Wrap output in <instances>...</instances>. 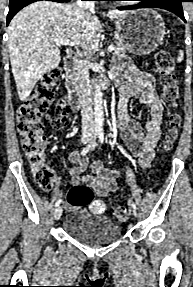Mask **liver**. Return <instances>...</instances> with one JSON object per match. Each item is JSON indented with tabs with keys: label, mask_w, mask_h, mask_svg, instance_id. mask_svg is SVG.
<instances>
[{
	"label": "liver",
	"mask_w": 193,
	"mask_h": 287,
	"mask_svg": "<svg viewBox=\"0 0 193 287\" xmlns=\"http://www.w3.org/2000/svg\"><path fill=\"white\" fill-rule=\"evenodd\" d=\"M129 11H109L110 19L123 17ZM101 24L94 11L76 4L39 1L18 12L9 24V55L12 72L21 101L31 94L35 84L60 61L56 39H68L76 47L92 50L100 39ZM66 53H72L66 49Z\"/></svg>",
	"instance_id": "1"
}]
</instances>
